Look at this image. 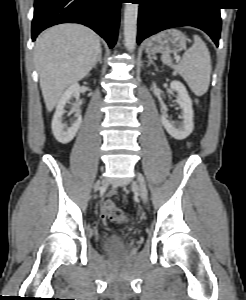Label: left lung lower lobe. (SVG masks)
I'll use <instances>...</instances> for the list:
<instances>
[{"label":"left lung lower lobe","mask_w":246,"mask_h":300,"mask_svg":"<svg viewBox=\"0 0 246 300\" xmlns=\"http://www.w3.org/2000/svg\"><path fill=\"white\" fill-rule=\"evenodd\" d=\"M138 44L145 38L168 28L193 26L205 31L219 45L220 7L217 0H136Z\"/></svg>","instance_id":"obj_1"}]
</instances>
